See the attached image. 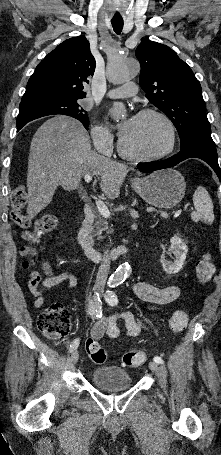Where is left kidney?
Wrapping results in <instances>:
<instances>
[{
    "instance_id": "1",
    "label": "left kidney",
    "mask_w": 221,
    "mask_h": 455,
    "mask_svg": "<svg viewBox=\"0 0 221 455\" xmlns=\"http://www.w3.org/2000/svg\"><path fill=\"white\" fill-rule=\"evenodd\" d=\"M171 248L170 253H173L175 256L174 262H170L165 259L164 256L161 257L160 262L162 264L163 270L167 274H176L178 273L184 265L186 255L188 252L187 245L182 241L178 236H173L171 238Z\"/></svg>"
}]
</instances>
